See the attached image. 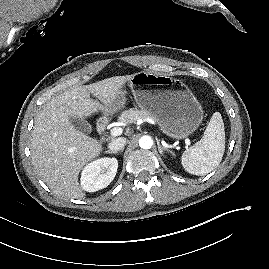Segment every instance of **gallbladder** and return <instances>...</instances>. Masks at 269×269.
Here are the masks:
<instances>
[{"mask_svg":"<svg viewBox=\"0 0 269 269\" xmlns=\"http://www.w3.org/2000/svg\"><path fill=\"white\" fill-rule=\"evenodd\" d=\"M69 121L77 130L84 134H90L92 131L91 125L83 118L70 116Z\"/></svg>","mask_w":269,"mask_h":269,"instance_id":"obj_1","label":"gallbladder"}]
</instances>
